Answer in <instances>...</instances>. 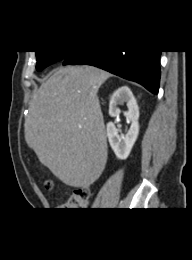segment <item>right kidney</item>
I'll return each instance as SVG.
<instances>
[{
    "mask_svg": "<svg viewBox=\"0 0 192 260\" xmlns=\"http://www.w3.org/2000/svg\"><path fill=\"white\" fill-rule=\"evenodd\" d=\"M127 104L128 110L124 112V116L131 122L130 129L126 136H120L113 122L107 124V137L112 150L120 160H125L137 140L139 134V108L132 91L127 87H120L111 97L109 103V115L117 117L121 110L118 105Z\"/></svg>",
    "mask_w": 192,
    "mask_h": 260,
    "instance_id": "right-kidney-1",
    "label": "right kidney"
}]
</instances>
